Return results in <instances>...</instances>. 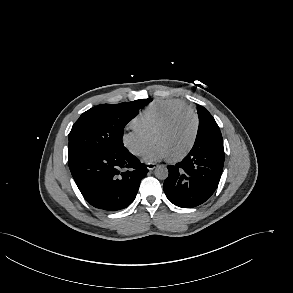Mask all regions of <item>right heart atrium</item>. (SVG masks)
I'll list each match as a JSON object with an SVG mask.
<instances>
[{"mask_svg": "<svg viewBox=\"0 0 293 293\" xmlns=\"http://www.w3.org/2000/svg\"><path fill=\"white\" fill-rule=\"evenodd\" d=\"M151 142L150 136L145 135L134 127L122 134V143L135 156L142 155Z\"/></svg>", "mask_w": 293, "mask_h": 293, "instance_id": "d8ad5b80", "label": "right heart atrium"}]
</instances>
